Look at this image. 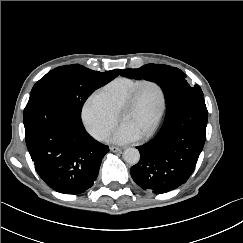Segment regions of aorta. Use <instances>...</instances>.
<instances>
[{
    "instance_id": "1",
    "label": "aorta",
    "mask_w": 243,
    "mask_h": 243,
    "mask_svg": "<svg viewBox=\"0 0 243 243\" xmlns=\"http://www.w3.org/2000/svg\"><path fill=\"white\" fill-rule=\"evenodd\" d=\"M123 158L128 164L135 165L140 160L139 150L136 148H127L123 153Z\"/></svg>"
}]
</instances>
